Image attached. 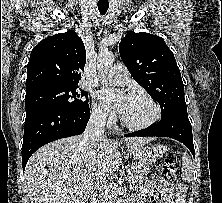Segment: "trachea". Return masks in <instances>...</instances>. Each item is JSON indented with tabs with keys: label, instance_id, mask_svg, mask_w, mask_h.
<instances>
[{
	"label": "trachea",
	"instance_id": "3493384b",
	"mask_svg": "<svg viewBox=\"0 0 222 203\" xmlns=\"http://www.w3.org/2000/svg\"><path fill=\"white\" fill-rule=\"evenodd\" d=\"M108 8H109V4L98 5V10H99L101 15H105L107 10H108Z\"/></svg>",
	"mask_w": 222,
	"mask_h": 203
}]
</instances>
